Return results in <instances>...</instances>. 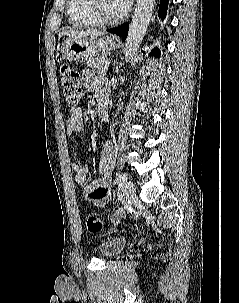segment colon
<instances>
[{"label": "colon", "instance_id": "obj_1", "mask_svg": "<svg viewBox=\"0 0 239 303\" xmlns=\"http://www.w3.org/2000/svg\"><path fill=\"white\" fill-rule=\"evenodd\" d=\"M60 83L67 104L74 106L79 103L84 94V87L78 72L69 65H63L60 69ZM86 226L92 233L102 230V222L96 216H88Z\"/></svg>", "mask_w": 239, "mask_h": 303}]
</instances>
